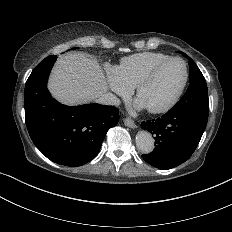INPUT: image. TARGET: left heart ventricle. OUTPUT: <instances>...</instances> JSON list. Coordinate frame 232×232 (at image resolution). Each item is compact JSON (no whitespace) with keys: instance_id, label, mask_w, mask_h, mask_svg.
<instances>
[{"instance_id":"b2bd125f","label":"left heart ventricle","mask_w":232,"mask_h":232,"mask_svg":"<svg viewBox=\"0 0 232 232\" xmlns=\"http://www.w3.org/2000/svg\"><path fill=\"white\" fill-rule=\"evenodd\" d=\"M185 76L184 66L172 61L162 67L139 90L136 100L146 109L165 105L178 91Z\"/></svg>"}]
</instances>
